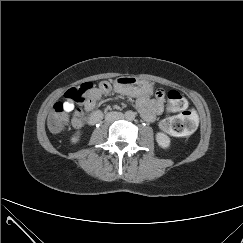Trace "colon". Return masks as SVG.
I'll use <instances>...</instances> for the list:
<instances>
[{
	"instance_id": "colon-1",
	"label": "colon",
	"mask_w": 243,
	"mask_h": 243,
	"mask_svg": "<svg viewBox=\"0 0 243 243\" xmlns=\"http://www.w3.org/2000/svg\"><path fill=\"white\" fill-rule=\"evenodd\" d=\"M99 87L103 90L110 88L106 82L100 83ZM93 90V84L85 82L66 91L63 101L55 104L54 111L48 118L50 130L52 132H59L68 123V112L65 109L66 103L87 104L93 100ZM156 94L158 97H164L166 93L164 90H158ZM166 95L168 98V111L178 112V114L163 119L160 122V128L164 132L175 136H187L191 134L197 126L195 111L189 107L187 100L178 91L170 90ZM80 114V111H78L75 115L78 119V124L82 123Z\"/></svg>"
}]
</instances>
